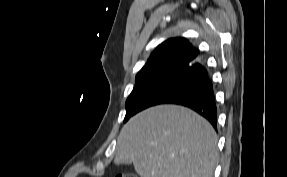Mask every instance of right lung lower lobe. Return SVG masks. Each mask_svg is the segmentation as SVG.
I'll return each instance as SVG.
<instances>
[{
    "instance_id": "98d812e1",
    "label": "right lung lower lobe",
    "mask_w": 287,
    "mask_h": 177,
    "mask_svg": "<svg viewBox=\"0 0 287 177\" xmlns=\"http://www.w3.org/2000/svg\"><path fill=\"white\" fill-rule=\"evenodd\" d=\"M157 104L189 107L217 127V107L213 84L206 68L194 60L181 64L154 81L130 106L131 116Z\"/></svg>"
}]
</instances>
